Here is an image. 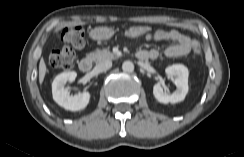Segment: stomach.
Returning a JSON list of instances; mask_svg holds the SVG:
<instances>
[{"mask_svg":"<svg viewBox=\"0 0 244 157\" xmlns=\"http://www.w3.org/2000/svg\"><path fill=\"white\" fill-rule=\"evenodd\" d=\"M114 35V30L108 27H97L90 31V37L94 40H107Z\"/></svg>","mask_w":244,"mask_h":157,"instance_id":"1","label":"stomach"}]
</instances>
